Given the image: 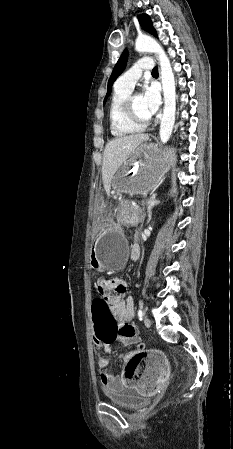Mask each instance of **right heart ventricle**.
Masks as SVG:
<instances>
[{
	"label": "right heart ventricle",
	"instance_id": "e07e8e85",
	"mask_svg": "<svg viewBox=\"0 0 233 449\" xmlns=\"http://www.w3.org/2000/svg\"><path fill=\"white\" fill-rule=\"evenodd\" d=\"M132 89L115 85L109 104V123L114 137H125L141 132L143 127L130 122L124 113V102Z\"/></svg>",
	"mask_w": 233,
	"mask_h": 449
}]
</instances>
